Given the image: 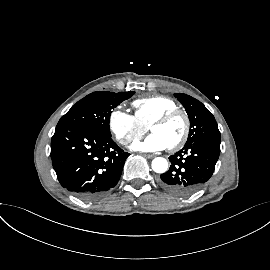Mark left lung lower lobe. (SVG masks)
<instances>
[{"label":"left lung lower lobe","mask_w":270,"mask_h":270,"mask_svg":"<svg viewBox=\"0 0 270 270\" xmlns=\"http://www.w3.org/2000/svg\"><path fill=\"white\" fill-rule=\"evenodd\" d=\"M220 154V141L200 139L169 157V170L160 175V185L177 195H190L211 178Z\"/></svg>","instance_id":"left-lung-lower-lobe-1"}]
</instances>
